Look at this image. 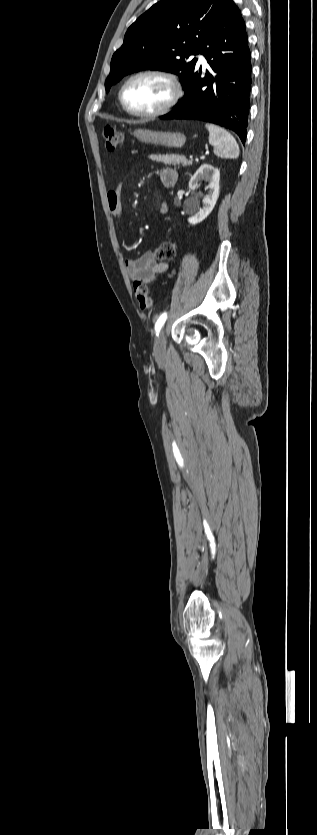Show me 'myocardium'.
Masks as SVG:
<instances>
[{
  "mask_svg": "<svg viewBox=\"0 0 317 835\" xmlns=\"http://www.w3.org/2000/svg\"><path fill=\"white\" fill-rule=\"evenodd\" d=\"M143 76L159 77V78L165 80L168 83V85L170 87V90H171V95H170L169 99L160 108H158L154 111H150V112L134 111V110L130 109L124 101L123 94H124V90L127 87V85L130 82H132L133 80H135L139 77H143ZM182 96H183V89H182V85H181L179 79L177 78V76H175L171 72L161 70V69H144V70H141V71H138V72L132 74L131 76H129L123 82V84L121 85V87L119 89V92H118V99H119V102H120L122 108L128 114H130L132 116H136V117H141V118H155V117H159V116L167 114L178 104V102L181 100Z\"/></svg>",
  "mask_w": 317,
  "mask_h": 835,
  "instance_id": "myocardium-1",
  "label": "myocardium"
}]
</instances>
